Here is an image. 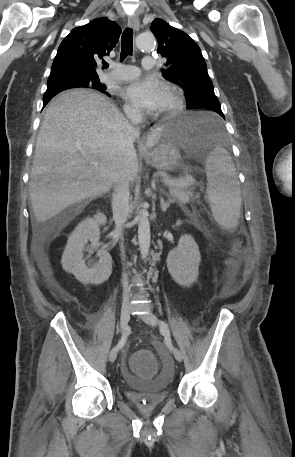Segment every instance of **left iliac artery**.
<instances>
[{"instance_id": "obj_1", "label": "left iliac artery", "mask_w": 295, "mask_h": 457, "mask_svg": "<svg viewBox=\"0 0 295 457\" xmlns=\"http://www.w3.org/2000/svg\"><path fill=\"white\" fill-rule=\"evenodd\" d=\"M160 330H161V333L165 337V342H166L168 348L170 350H173L174 347L172 345L171 338H170V330H169L168 324L165 321H162V320L160 321Z\"/></svg>"}]
</instances>
